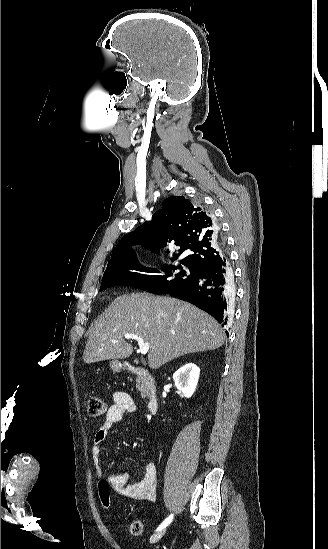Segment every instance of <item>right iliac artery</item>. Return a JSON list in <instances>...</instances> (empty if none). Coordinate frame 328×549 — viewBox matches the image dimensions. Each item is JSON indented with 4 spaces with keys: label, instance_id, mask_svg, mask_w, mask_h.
<instances>
[{
    "label": "right iliac artery",
    "instance_id": "obj_1",
    "mask_svg": "<svg viewBox=\"0 0 328 549\" xmlns=\"http://www.w3.org/2000/svg\"><path fill=\"white\" fill-rule=\"evenodd\" d=\"M173 519V514H171L169 517H167L163 522L162 524L157 528V531L159 530H162L163 528H165L166 526H168L171 521Z\"/></svg>",
    "mask_w": 328,
    "mask_h": 549
}]
</instances>
